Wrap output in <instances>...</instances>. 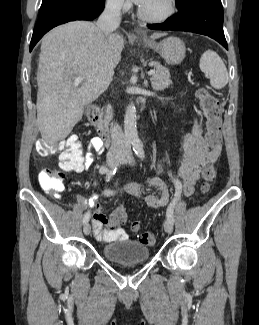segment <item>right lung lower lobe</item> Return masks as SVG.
I'll list each match as a JSON object with an SVG mask.
<instances>
[{
  "mask_svg": "<svg viewBox=\"0 0 259 325\" xmlns=\"http://www.w3.org/2000/svg\"><path fill=\"white\" fill-rule=\"evenodd\" d=\"M105 0H62L49 5L39 12L30 51L50 29L74 20H93L104 9Z\"/></svg>",
  "mask_w": 259,
  "mask_h": 325,
  "instance_id": "right-lung-lower-lobe-1",
  "label": "right lung lower lobe"
}]
</instances>
